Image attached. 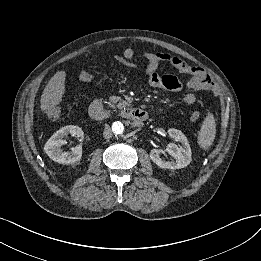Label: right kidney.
Here are the masks:
<instances>
[{"mask_svg":"<svg viewBox=\"0 0 261 261\" xmlns=\"http://www.w3.org/2000/svg\"><path fill=\"white\" fill-rule=\"evenodd\" d=\"M68 134L80 138V141L84 138L83 130L74 125L64 126L56 131L49 140L45 143V153L55 162L60 164H72L80 161L82 157V146L78 145L72 148L70 151H63L61 146L66 144L63 139Z\"/></svg>","mask_w":261,"mask_h":261,"instance_id":"obj_1","label":"right kidney"}]
</instances>
